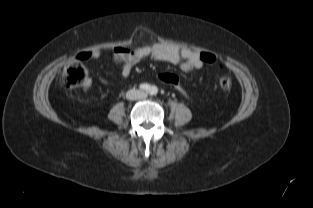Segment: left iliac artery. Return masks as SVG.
Here are the masks:
<instances>
[{
    "label": "left iliac artery",
    "instance_id": "obj_1",
    "mask_svg": "<svg viewBox=\"0 0 313 208\" xmlns=\"http://www.w3.org/2000/svg\"><path fill=\"white\" fill-rule=\"evenodd\" d=\"M158 93V88L156 86H152L150 89L151 95H156Z\"/></svg>",
    "mask_w": 313,
    "mask_h": 208
}]
</instances>
